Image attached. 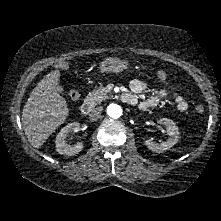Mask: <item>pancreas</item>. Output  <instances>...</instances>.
Instances as JSON below:
<instances>
[{
    "mask_svg": "<svg viewBox=\"0 0 221 221\" xmlns=\"http://www.w3.org/2000/svg\"><path fill=\"white\" fill-rule=\"evenodd\" d=\"M107 92L108 90L106 88L100 87L92 93H89L85 99V103L90 107H94L95 105L100 104L103 100L109 98Z\"/></svg>",
    "mask_w": 221,
    "mask_h": 221,
    "instance_id": "cf45deb5",
    "label": "pancreas"
}]
</instances>
